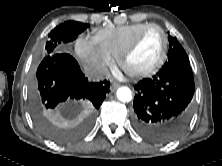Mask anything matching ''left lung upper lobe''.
Masks as SVG:
<instances>
[{"label": "left lung upper lobe", "mask_w": 222, "mask_h": 166, "mask_svg": "<svg viewBox=\"0 0 222 166\" xmlns=\"http://www.w3.org/2000/svg\"><path fill=\"white\" fill-rule=\"evenodd\" d=\"M169 51H168V61L164 64L170 65L175 63H190L189 58L181 46V44L178 42L176 37L169 36Z\"/></svg>", "instance_id": "5c2ea615"}]
</instances>
